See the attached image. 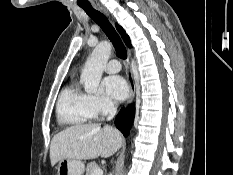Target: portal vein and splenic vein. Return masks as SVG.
Segmentation results:
<instances>
[{"label": "portal vein and splenic vein", "mask_w": 233, "mask_h": 175, "mask_svg": "<svg viewBox=\"0 0 233 175\" xmlns=\"http://www.w3.org/2000/svg\"><path fill=\"white\" fill-rule=\"evenodd\" d=\"M92 175H103V170L100 168H97L94 170Z\"/></svg>", "instance_id": "1"}]
</instances>
